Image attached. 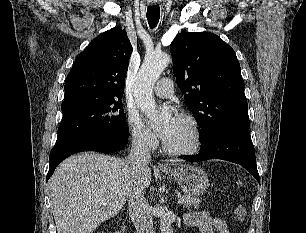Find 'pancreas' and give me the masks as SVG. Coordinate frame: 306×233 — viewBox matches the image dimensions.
Returning a JSON list of instances; mask_svg holds the SVG:
<instances>
[{
  "label": "pancreas",
  "instance_id": "cf45deb5",
  "mask_svg": "<svg viewBox=\"0 0 306 233\" xmlns=\"http://www.w3.org/2000/svg\"><path fill=\"white\" fill-rule=\"evenodd\" d=\"M181 199H183V205L185 208H196L199 206V203H200V199L199 198H196L194 196H191V195H188V194H185V195H182L180 197Z\"/></svg>",
  "mask_w": 306,
  "mask_h": 233
}]
</instances>
